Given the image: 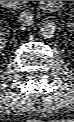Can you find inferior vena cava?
<instances>
[{
	"mask_svg": "<svg viewBox=\"0 0 74 122\" xmlns=\"http://www.w3.org/2000/svg\"><path fill=\"white\" fill-rule=\"evenodd\" d=\"M18 22L24 26L26 25H33L34 24V16L29 11H24L20 13L18 17Z\"/></svg>",
	"mask_w": 74,
	"mask_h": 122,
	"instance_id": "obj_1",
	"label": "inferior vena cava"
}]
</instances>
